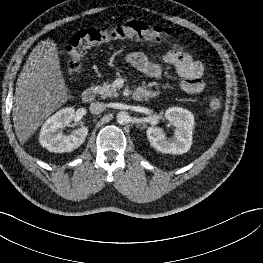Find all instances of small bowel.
<instances>
[{
  "instance_id": "obj_1",
  "label": "small bowel",
  "mask_w": 263,
  "mask_h": 263,
  "mask_svg": "<svg viewBox=\"0 0 263 263\" xmlns=\"http://www.w3.org/2000/svg\"><path fill=\"white\" fill-rule=\"evenodd\" d=\"M126 61L133 68L150 78L160 77L165 66H173L182 78L181 88L187 94H200L205 88L202 79L203 65L179 44L169 45L168 52L160 62L150 59L141 52L128 53ZM149 92L151 96L155 95L154 92Z\"/></svg>"
}]
</instances>
